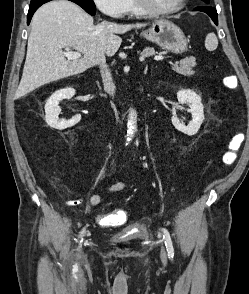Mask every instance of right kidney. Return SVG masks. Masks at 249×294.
<instances>
[{"instance_id":"ca27d5eb","label":"right kidney","mask_w":249,"mask_h":294,"mask_svg":"<svg viewBox=\"0 0 249 294\" xmlns=\"http://www.w3.org/2000/svg\"><path fill=\"white\" fill-rule=\"evenodd\" d=\"M75 95V89L65 88L60 89L53 93L51 97L46 101L45 104V120L46 123L57 130H64L66 128L72 127L81 120V115H75L70 120H60L58 115L61 112L59 103L63 99H70Z\"/></svg>"}]
</instances>
